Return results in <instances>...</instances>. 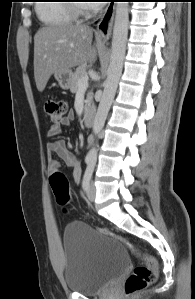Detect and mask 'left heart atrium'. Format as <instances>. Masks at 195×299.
Wrapping results in <instances>:
<instances>
[{"instance_id": "left-heart-atrium-1", "label": "left heart atrium", "mask_w": 195, "mask_h": 299, "mask_svg": "<svg viewBox=\"0 0 195 299\" xmlns=\"http://www.w3.org/2000/svg\"><path fill=\"white\" fill-rule=\"evenodd\" d=\"M92 3L88 4L89 6H92V7H99V6H102L104 2H101L99 0H92L91 1Z\"/></svg>"}]
</instances>
